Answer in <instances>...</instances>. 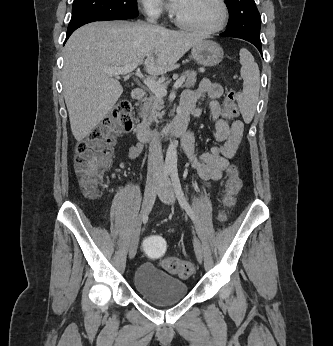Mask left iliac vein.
Instances as JSON below:
<instances>
[{"label": "left iliac vein", "mask_w": 333, "mask_h": 346, "mask_svg": "<svg viewBox=\"0 0 333 346\" xmlns=\"http://www.w3.org/2000/svg\"><path fill=\"white\" fill-rule=\"evenodd\" d=\"M162 178V183L158 186L157 188V193L160 197V199L168 204V205H173L175 202V194L172 188V184L168 178L163 180ZM193 246H194V251L196 254V257L200 263L203 261V248L200 240L197 237H194L193 239Z\"/></svg>", "instance_id": "left-iliac-vein-1"}]
</instances>
